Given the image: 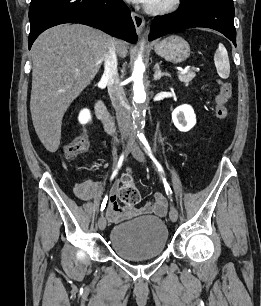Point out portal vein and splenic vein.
<instances>
[{
    "label": "portal vein and splenic vein",
    "instance_id": "18ae733b",
    "mask_svg": "<svg viewBox=\"0 0 261 306\" xmlns=\"http://www.w3.org/2000/svg\"><path fill=\"white\" fill-rule=\"evenodd\" d=\"M188 68H185V69H180L179 71H178V73H187L188 72Z\"/></svg>",
    "mask_w": 261,
    "mask_h": 306
}]
</instances>
